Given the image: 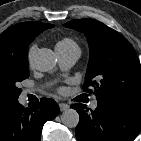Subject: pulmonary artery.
Here are the masks:
<instances>
[{"label": "pulmonary artery", "mask_w": 141, "mask_h": 141, "mask_svg": "<svg viewBox=\"0 0 141 141\" xmlns=\"http://www.w3.org/2000/svg\"><path fill=\"white\" fill-rule=\"evenodd\" d=\"M57 55L60 60V64L64 69L70 68L75 64L77 59L79 58V51H58L56 50ZM28 93H32L33 90H27ZM98 106V101L94 100L91 102V108L96 109Z\"/></svg>", "instance_id": "1"}]
</instances>
